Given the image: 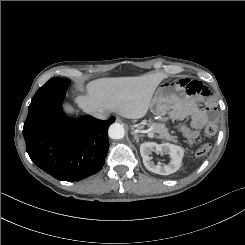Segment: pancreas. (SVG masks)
I'll use <instances>...</instances> for the list:
<instances>
[{
  "label": "pancreas",
  "instance_id": "cf45deb5",
  "mask_svg": "<svg viewBox=\"0 0 245 245\" xmlns=\"http://www.w3.org/2000/svg\"><path fill=\"white\" fill-rule=\"evenodd\" d=\"M151 131L154 134H158L157 138L160 139H164L167 140L169 142H173V143H177V137L176 136H172L169 132L168 129L166 128V126L164 124H160V123H152L151 124Z\"/></svg>",
  "mask_w": 245,
  "mask_h": 245
}]
</instances>
